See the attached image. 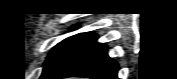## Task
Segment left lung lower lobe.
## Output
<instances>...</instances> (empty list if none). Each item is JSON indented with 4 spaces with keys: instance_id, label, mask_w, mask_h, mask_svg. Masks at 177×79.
<instances>
[{
    "instance_id": "0a47b994",
    "label": "left lung lower lobe",
    "mask_w": 177,
    "mask_h": 79,
    "mask_svg": "<svg viewBox=\"0 0 177 79\" xmlns=\"http://www.w3.org/2000/svg\"><path fill=\"white\" fill-rule=\"evenodd\" d=\"M96 38L95 34L89 33L76 43L49 79H117L118 64L108 57L106 45L97 43Z\"/></svg>"
}]
</instances>
